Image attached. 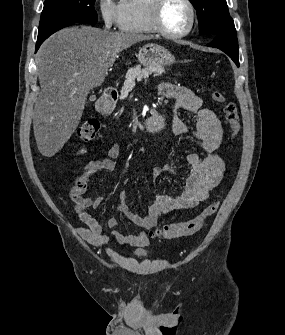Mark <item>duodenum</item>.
Instances as JSON below:
<instances>
[{
    "label": "duodenum",
    "instance_id": "410a0bca",
    "mask_svg": "<svg viewBox=\"0 0 285 335\" xmlns=\"http://www.w3.org/2000/svg\"><path fill=\"white\" fill-rule=\"evenodd\" d=\"M117 91L115 89H108L101 100L99 101V109L101 112H107L111 109L113 103L117 99ZM166 115L162 112L153 111L151 115L143 122L144 129L153 127H161L166 122Z\"/></svg>",
    "mask_w": 285,
    "mask_h": 335
}]
</instances>
